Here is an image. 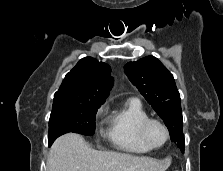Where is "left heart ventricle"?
I'll use <instances>...</instances> for the list:
<instances>
[{
    "label": "left heart ventricle",
    "mask_w": 223,
    "mask_h": 171,
    "mask_svg": "<svg viewBox=\"0 0 223 171\" xmlns=\"http://www.w3.org/2000/svg\"><path fill=\"white\" fill-rule=\"evenodd\" d=\"M148 135L150 140L156 145L163 143V141L165 140V132L163 128L158 124H152L150 126Z\"/></svg>",
    "instance_id": "left-heart-ventricle-1"
}]
</instances>
